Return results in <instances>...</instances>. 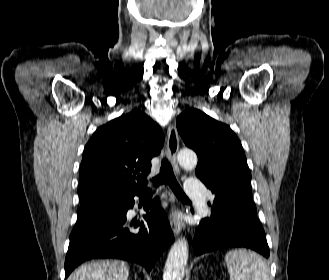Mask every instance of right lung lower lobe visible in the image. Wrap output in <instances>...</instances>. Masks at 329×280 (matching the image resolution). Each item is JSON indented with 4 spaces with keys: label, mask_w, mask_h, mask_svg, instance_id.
<instances>
[{
    "label": "right lung lower lobe",
    "mask_w": 329,
    "mask_h": 280,
    "mask_svg": "<svg viewBox=\"0 0 329 280\" xmlns=\"http://www.w3.org/2000/svg\"><path fill=\"white\" fill-rule=\"evenodd\" d=\"M135 195L143 198L144 222L126 219ZM138 226L142 228L134 230ZM172 242L173 233L159 198L147 200L146 189L101 195L78 213L65 259V278L82 262L94 258L128 260L150 272Z\"/></svg>",
    "instance_id": "obj_1"
}]
</instances>
